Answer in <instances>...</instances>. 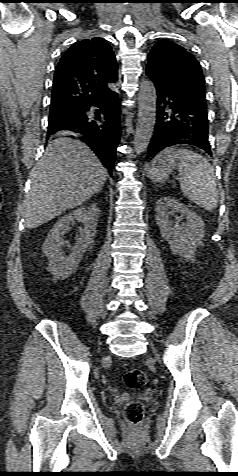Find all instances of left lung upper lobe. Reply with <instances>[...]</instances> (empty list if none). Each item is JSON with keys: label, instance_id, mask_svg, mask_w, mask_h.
Instances as JSON below:
<instances>
[{"label": "left lung upper lobe", "instance_id": "obj_1", "mask_svg": "<svg viewBox=\"0 0 238 476\" xmlns=\"http://www.w3.org/2000/svg\"><path fill=\"white\" fill-rule=\"evenodd\" d=\"M146 73L158 87L178 98L207 107L200 63L183 47L158 41L148 55Z\"/></svg>", "mask_w": 238, "mask_h": 476}]
</instances>
